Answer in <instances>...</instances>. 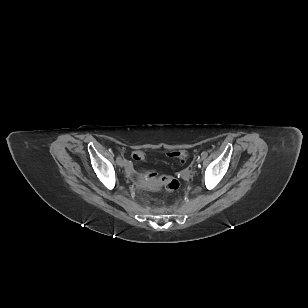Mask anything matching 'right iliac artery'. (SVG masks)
Segmentation results:
<instances>
[{
    "label": "right iliac artery",
    "mask_w": 308,
    "mask_h": 308,
    "mask_svg": "<svg viewBox=\"0 0 308 308\" xmlns=\"http://www.w3.org/2000/svg\"><path fill=\"white\" fill-rule=\"evenodd\" d=\"M121 160V157H117L116 162L118 163Z\"/></svg>",
    "instance_id": "1"
}]
</instances>
